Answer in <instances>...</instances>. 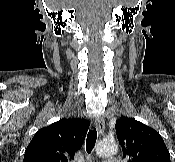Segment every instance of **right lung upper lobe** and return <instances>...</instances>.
<instances>
[{
	"mask_svg": "<svg viewBox=\"0 0 175 162\" xmlns=\"http://www.w3.org/2000/svg\"><path fill=\"white\" fill-rule=\"evenodd\" d=\"M89 122L85 119H61L40 129L29 143L23 162H68L80 149Z\"/></svg>",
	"mask_w": 175,
	"mask_h": 162,
	"instance_id": "obj_1",
	"label": "right lung upper lobe"
}]
</instances>
